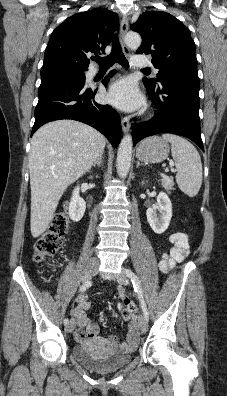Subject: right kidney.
<instances>
[{
  "mask_svg": "<svg viewBox=\"0 0 227 396\" xmlns=\"http://www.w3.org/2000/svg\"><path fill=\"white\" fill-rule=\"evenodd\" d=\"M79 191V187L74 189L69 203V216L74 222L80 221L86 210V202L80 197Z\"/></svg>",
  "mask_w": 227,
  "mask_h": 396,
  "instance_id": "obj_1",
  "label": "right kidney"
}]
</instances>
